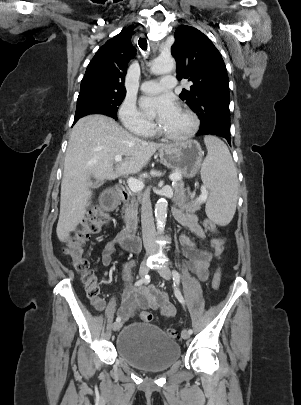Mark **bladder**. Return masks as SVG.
Here are the masks:
<instances>
[{
  "label": "bladder",
  "instance_id": "31cf9c89",
  "mask_svg": "<svg viewBox=\"0 0 301 405\" xmlns=\"http://www.w3.org/2000/svg\"><path fill=\"white\" fill-rule=\"evenodd\" d=\"M115 348L118 356L131 366L147 371L168 369L180 356L179 344L157 326L132 322L117 335Z\"/></svg>",
  "mask_w": 301,
  "mask_h": 405
}]
</instances>
